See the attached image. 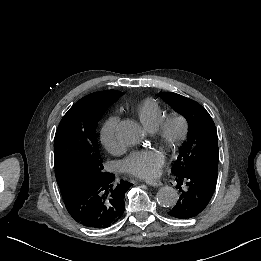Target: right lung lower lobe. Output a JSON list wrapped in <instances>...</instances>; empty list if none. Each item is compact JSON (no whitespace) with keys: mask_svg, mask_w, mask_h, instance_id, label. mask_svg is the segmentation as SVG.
<instances>
[{"mask_svg":"<svg viewBox=\"0 0 261 261\" xmlns=\"http://www.w3.org/2000/svg\"><path fill=\"white\" fill-rule=\"evenodd\" d=\"M114 178L113 174L105 172L94 180L80 177L61 193L68 213L76 222L102 229L121 218L125 208L124 195L131 184L121 180L114 185Z\"/></svg>","mask_w":261,"mask_h":261,"instance_id":"98d812e1","label":"right lung lower lobe"}]
</instances>
